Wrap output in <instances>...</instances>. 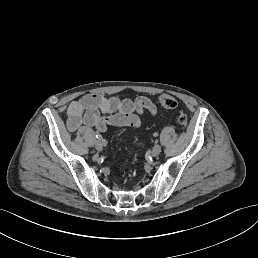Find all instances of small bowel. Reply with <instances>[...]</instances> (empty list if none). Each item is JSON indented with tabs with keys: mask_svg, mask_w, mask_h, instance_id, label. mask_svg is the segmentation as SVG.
<instances>
[{
	"mask_svg": "<svg viewBox=\"0 0 258 258\" xmlns=\"http://www.w3.org/2000/svg\"><path fill=\"white\" fill-rule=\"evenodd\" d=\"M145 111L153 116L157 114L156 105L144 96L131 100L87 94L68 106L67 126L72 132L82 125L95 128L99 132H105L109 126L136 128Z\"/></svg>",
	"mask_w": 258,
	"mask_h": 258,
	"instance_id": "small-bowel-1",
	"label": "small bowel"
}]
</instances>
